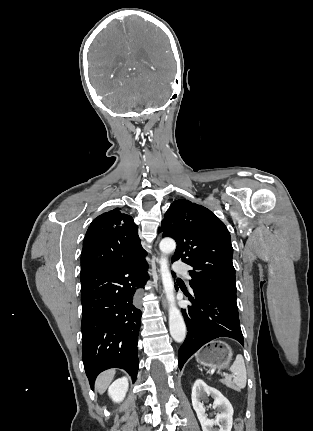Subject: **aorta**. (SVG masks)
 Returning a JSON list of instances; mask_svg holds the SVG:
<instances>
[{
    "label": "aorta",
    "mask_w": 313,
    "mask_h": 431,
    "mask_svg": "<svg viewBox=\"0 0 313 431\" xmlns=\"http://www.w3.org/2000/svg\"><path fill=\"white\" fill-rule=\"evenodd\" d=\"M159 248L162 252V256L159 260L160 273L166 298L169 302L170 334L176 342L181 343L186 337V325L180 310L175 304L174 283L169 271L168 259L166 258L167 254L173 252L176 249V243L171 238H164L161 240Z\"/></svg>",
    "instance_id": "obj_1"
}]
</instances>
